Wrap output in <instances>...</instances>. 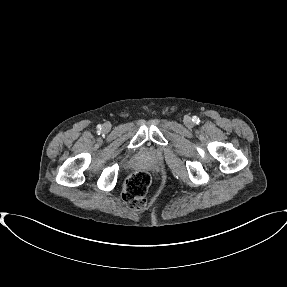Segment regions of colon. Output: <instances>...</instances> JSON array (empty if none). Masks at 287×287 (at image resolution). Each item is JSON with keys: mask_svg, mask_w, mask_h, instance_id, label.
Masks as SVG:
<instances>
[{"mask_svg": "<svg viewBox=\"0 0 287 287\" xmlns=\"http://www.w3.org/2000/svg\"><path fill=\"white\" fill-rule=\"evenodd\" d=\"M150 185V176L145 171L132 173L125 181L123 199L132 209H142L147 204V191Z\"/></svg>", "mask_w": 287, "mask_h": 287, "instance_id": "5ec220e1", "label": "colon"}]
</instances>
